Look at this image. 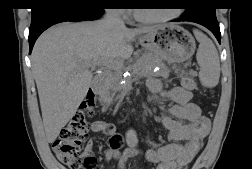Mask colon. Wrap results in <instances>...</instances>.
<instances>
[{
  "label": "colon",
  "instance_id": "1",
  "mask_svg": "<svg viewBox=\"0 0 252 169\" xmlns=\"http://www.w3.org/2000/svg\"><path fill=\"white\" fill-rule=\"evenodd\" d=\"M182 86L186 90L197 89V83L191 75H185L182 78ZM95 104V94L89 92L78 112L61 130L58 138L53 143V150L58 160L68 166L69 169H93L92 165L95 163V159L83 153L81 148L89 131L86 117L93 115ZM103 134L109 139L111 147L121 145V136L116 132V128L112 123L104 126Z\"/></svg>",
  "mask_w": 252,
  "mask_h": 169
}]
</instances>
